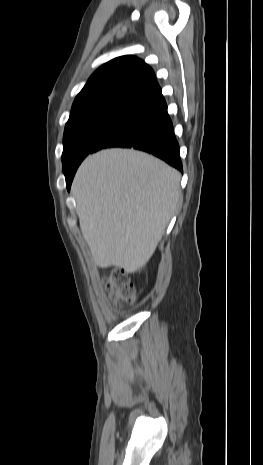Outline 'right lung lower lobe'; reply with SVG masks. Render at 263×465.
<instances>
[{
  "label": "right lung lower lobe",
  "instance_id": "obj_1",
  "mask_svg": "<svg viewBox=\"0 0 263 465\" xmlns=\"http://www.w3.org/2000/svg\"><path fill=\"white\" fill-rule=\"evenodd\" d=\"M110 147L134 148L153 154L182 172L179 145L160 87L141 97L105 133L91 153ZM77 169L66 175L67 189Z\"/></svg>",
  "mask_w": 263,
  "mask_h": 465
}]
</instances>
